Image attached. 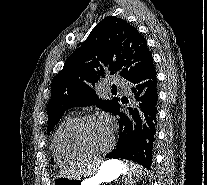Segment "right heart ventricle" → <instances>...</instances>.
<instances>
[{"instance_id": "e07e8e85", "label": "right heart ventricle", "mask_w": 207, "mask_h": 185, "mask_svg": "<svg viewBox=\"0 0 207 185\" xmlns=\"http://www.w3.org/2000/svg\"><path fill=\"white\" fill-rule=\"evenodd\" d=\"M74 120L75 117L73 116L66 117L60 123L58 129L54 134L52 141V150L54 158L59 165L72 166L88 159V157L85 156H77L72 154L66 145V133Z\"/></svg>"}]
</instances>
